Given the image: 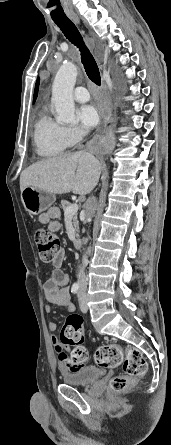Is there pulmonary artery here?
Here are the masks:
<instances>
[{
  "label": "pulmonary artery",
  "mask_w": 171,
  "mask_h": 445,
  "mask_svg": "<svg viewBox=\"0 0 171 445\" xmlns=\"http://www.w3.org/2000/svg\"><path fill=\"white\" fill-rule=\"evenodd\" d=\"M74 99L77 102H87L90 99V95L85 87L79 86L74 90Z\"/></svg>",
  "instance_id": "e3ab8cb5"
}]
</instances>
